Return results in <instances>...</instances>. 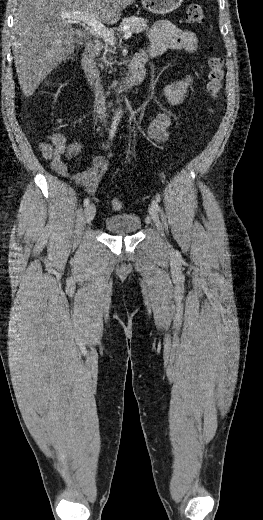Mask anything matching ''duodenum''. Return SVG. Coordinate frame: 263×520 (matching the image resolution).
<instances>
[{"instance_id":"1","label":"duodenum","mask_w":263,"mask_h":520,"mask_svg":"<svg viewBox=\"0 0 263 520\" xmlns=\"http://www.w3.org/2000/svg\"><path fill=\"white\" fill-rule=\"evenodd\" d=\"M95 53V44H89L82 54L81 64L88 83L93 89L98 90L104 86V82L95 65ZM148 57L143 51L136 53L132 59L130 73L125 80L120 83H111L108 87L117 93L128 92L137 87L145 78Z\"/></svg>"}]
</instances>
